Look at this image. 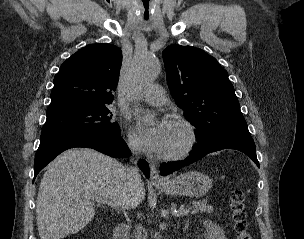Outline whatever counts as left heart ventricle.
<instances>
[{
	"label": "left heart ventricle",
	"mask_w": 304,
	"mask_h": 239,
	"mask_svg": "<svg viewBox=\"0 0 304 239\" xmlns=\"http://www.w3.org/2000/svg\"><path fill=\"white\" fill-rule=\"evenodd\" d=\"M185 141V132L177 124L171 122V126L162 152H169L179 148Z\"/></svg>",
	"instance_id": "obj_1"
}]
</instances>
